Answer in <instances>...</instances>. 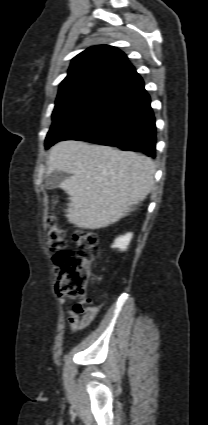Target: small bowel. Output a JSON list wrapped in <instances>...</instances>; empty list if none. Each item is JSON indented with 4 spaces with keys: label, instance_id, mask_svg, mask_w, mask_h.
<instances>
[{
    "label": "small bowel",
    "instance_id": "obj_1",
    "mask_svg": "<svg viewBox=\"0 0 208 425\" xmlns=\"http://www.w3.org/2000/svg\"><path fill=\"white\" fill-rule=\"evenodd\" d=\"M59 302L61 305H64L67 302V299L60 294ZM90 299H86L85 303H90ZM100 305H83L76 303L71 309L68 310V323L72 331H80L87 326H89L95 319Z\"/></svg>",
    "mask_w": 208,
    "mask_h": 425
}]
</instances>
